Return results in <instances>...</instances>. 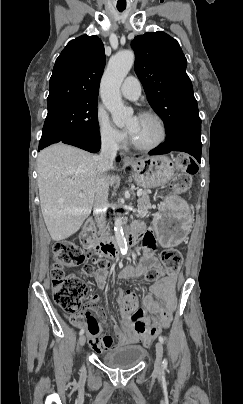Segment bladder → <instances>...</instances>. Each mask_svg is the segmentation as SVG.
<instances>
[{"label":"bladder","mask_w":243,"mask_h":404,"mask_svg":"<svg viewBox=\"0 0 243 404\" xmlns=\"http://www.w3.org/2000/svg\"><path fill=\"white\" fill-rule=\"evenodd\" d=\"M147 355L144 347L136 344L117 347L101 355L102 363L117 370H128L139 365Z\"/></svg>","instance_id":"31cf9c89"}]
</instances>
